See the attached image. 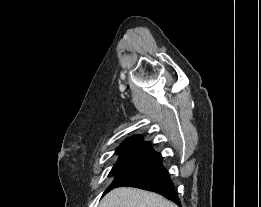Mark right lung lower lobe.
Instances as JSON below:
<instances>
[{"instance_id":"98d812e1","label":"right lung lower lobe","mask_w":261,"mask_h":207,"mask_svg":"<svg viewBox=\"0 0 261 207\" xmlns=\"http://www.w3.org/2000/svg\"><path fill=\"white\" fill-rule=\"evenodd\" d=\"M122 186L137 187L156 192L169 200H172L181 207L173 182L169 177L168 171L162 164H159L152 170L129 180Z\"/></svg>"}]
</instances>
